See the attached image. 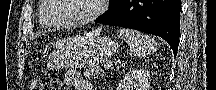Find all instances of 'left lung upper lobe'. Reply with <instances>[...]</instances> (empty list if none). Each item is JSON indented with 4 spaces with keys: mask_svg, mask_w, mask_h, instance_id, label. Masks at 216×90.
Listing matches in <instances>:
<instances>
[{
    "mask_svg": "<svg viewBox=\"0 0 216 90\" xmlns=\"http://www.w3.org/2000/svg\"><path fill=\"white\" fill-rule=\"evenodd\" d=\"M110 3H111V8H113L118 3V0H110Z\"/></svg>",
    "mask_w": 216,
    "mask_h": 90,
    "instance_id": "obj_1",
    "label": "left lung upper lobe"
}]
</instances>
